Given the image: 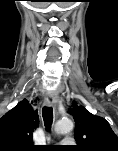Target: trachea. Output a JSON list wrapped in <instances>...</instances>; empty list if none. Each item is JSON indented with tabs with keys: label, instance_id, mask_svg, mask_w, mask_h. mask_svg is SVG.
<instances>
[{
	"label": "trachea",
	"instance_id": "3493384b",
	"mask_svg": "<svg viewBox=\"0 0 118 151\" xmlns=\"http://www.w3.org/2000/svg\"><path fill=\"white\" fill-rule=\"evenodd\" d=\"M42 117L44 120V125L47 131H50L53 122V109L52 107H43Z\"/></svg>",
	"mask_w": 118,
	"mask_h": 151
}]
</instances>
